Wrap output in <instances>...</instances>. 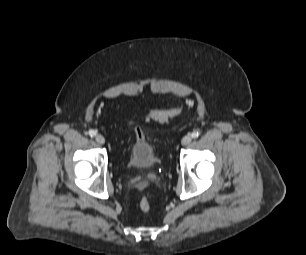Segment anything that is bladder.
I'll return each instance as SVG.
<instances>
[{
  "mask_svg": "<svg viewBox=\"0 0 306 255\" xmlns=\"http://www.w3.org/2000/svg\"><path fill=\"white\" fill-rule=\"evenodd\" d=\"M158 157L151 143L145 139L136 140L128 153L129 165L140 171L150 170L157 164Z\"/></svg>",
  "mask_w": 306,
  "mask_h": 255,
  "instance_id": "obj_1",
  "label": "bladder"
}]
</instances>
